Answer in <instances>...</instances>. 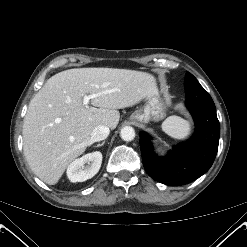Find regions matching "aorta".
<instances>
[{
	"instance_id": "762f6f07",
	"label": "aorta",
	"mask_w": 247,
	"mask_h": 247,
	"mask_svg": "<svg viewBox=\"0 0 247 247\" xmlns=\"http://www.w3.org/2000/svg\"><path fill=\"white\" fill-rule=\"evenodd\" d=\"M120 136L124 141H132L135 137V130L131 126H125L121 129Z\"/></svg>"
}]
</instances>
